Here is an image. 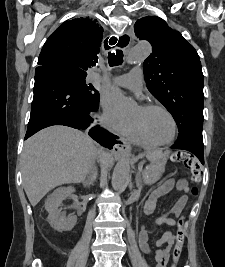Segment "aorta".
<instances>
[{
	"label": "aorta",
	"mask_w": 225,
	"mask_h": 267,
	"mask_svg": "<svg viewBox=\"0 0 225 267\" xmlns=\"http://www.w3.org/2000/svg\"><path fill=\"white\" fill-rule=\"evenodd\" d=\"M151 52V46L148 43H140L135 45L127 58V63L130 65L142 62ZM110 99L119 108H125L129 105L130 101L121 91L113 87L110 91ZM130 178V165L128 160H120L113 171L112 175V188L117 193H122L128 184Z\"/></svg>",
	"instance_id": "aorta-1"
}]
</instances>
